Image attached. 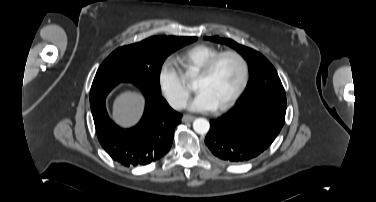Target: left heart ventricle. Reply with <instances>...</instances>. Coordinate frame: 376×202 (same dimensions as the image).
I'll return each mask as SVG.
<instances>
[{"instance_id":"left-heart-ventricle-1","label":"left heart ventricle","mask_w":376,"mask_h":202,"mask_svg":"<svg viewBox=\"0 0 376 202\" xmlns=\"http://www.w3.org/2000/svg\"><path fill=\"white\" fill-rule=\"evenodd\" d=\"M241 74V66L235 58L223 57L208 77H196L194 86L197 90L206 91L216 107H219L237 90Z\"/></svg>"}]
</instances>
